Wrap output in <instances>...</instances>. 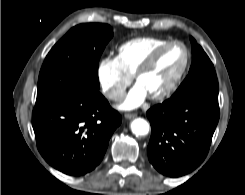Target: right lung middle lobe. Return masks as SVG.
<instances>
[{"label":"right lung middle lobe","mask_w":245,"mask_h":195,"mask_svg":"<svg viewBox=\"0 0 245 195\" xmlns=\"http://www.w3.org/2000/svg\"><path fill=\"white\" fill-rule=\"evenodd\" d=\"M112 36L107 24H80L70 29L45 58L36 105L99 92L98 62Z\"/></svg>","instance_id":"dd1d6c3e"}]
</instances>
